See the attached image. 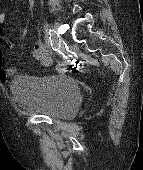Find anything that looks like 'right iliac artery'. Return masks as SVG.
I'll use <instances>...</instances> for the list:
<instances>
[{
	"instance_id": "right-iliac-artery-1",
	"label": "right iliac artery",
	"mask_w": 143,
	"mask_h": 170,
	"mask_svg": "<svg viewBox=\"0 0 143 170\" xmlns=\"http://www.w3.org/2000/svg\"><path fill=\"white\" fill-rule=\"evenodd\" d=\"M54 30L49 29L47 31V34L49 35V39L51 41V46L54 51H58L60 48V39H58L54 34L52 33Z\"/></svg>"
}]
</instances>
